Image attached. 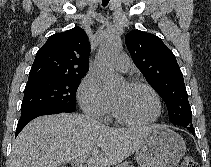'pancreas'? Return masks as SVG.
I'll return each instance as SVG.
<instances>
[{
    "instance_id": "cf45deb5",
    "label": "pancreas",
    "mask_w": 211,
    "mask_h": 167,
    "mask_svg": "<svg viewBox=\"0 0 211 167\" xmlns=\"http://www.w3.org/2000/svg\"><path fill=\"white\" fill-rule=\"evenodd\" d=\"M120 167H134L133 165H130L128 162H125L120 165Z\"/></svg>"
}]
</instances>
